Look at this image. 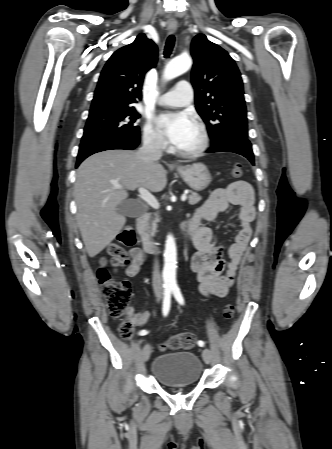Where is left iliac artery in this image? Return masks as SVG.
<instances>
[{
	"label": "left iliac artery",
	"mask_w": 332,
	"mask_h": 449,
	"mask_svg": "<svg viewBox=\"0 0 332 449\" xmlns=\"http://www.w3.org/2000/svg\"><path fill=\"white\" fill-rule=\"evenodd\" d=\"M171 290H172V293H173V295H174V297H175V299H176V301L179 303V304H181V305H184V298H183V296H182V293H181V291H180V288L177 286V285H173L172 287H171ZM198 345L200 346V347H203L204 345H205V343L203 342V341H198Z\"/></svg>",
	"instance_id": "obj_1"
}]
</instances>
